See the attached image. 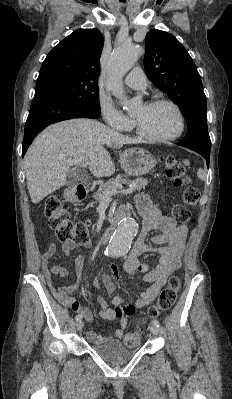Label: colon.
I'll use <instances>...</instances> for the list:
<instances>
[{
  "mask_svg": "<svg viewBox=\"0 0 232 399\" xmlns=\"http://www.w3.org/2000/svg\"><path fill=\"white\" fill-rule=\"evenodd\" d=\"M163 168L174 176L175 180H179V186H185L187 198L189 201L183 203H170V208L175 209V218L180 223L187 222L188 226H196L197 218L191 217L194 209H199L203 205V198L201 191L198 190L196 179L192 175H188V170L185 168H193V163L189 160H176L173 156L165 158ZM47 195V200H42L44 209V216L49 219V227L55 231L57 239L71 240L74 244L85 245L95 237V232L91 228L92 222H73L66 211L62 208L61 202L54 197L53 194ZM173 274H179V269H173ZM167 288L161 290V295L158 296L148 311V316L152 320L159 319L163 312H168L169 303L173 302L178 290L181 286V281L176 276H170ZM146 330V322H133L131 333L125 337L124 347H137L138 338L144 335Z\"/></svg>",
  "mask_w": 232,
  "mask_h": 399,
  "instance_id": "obj_1",
  "label": "colon"
}]
</instances>
